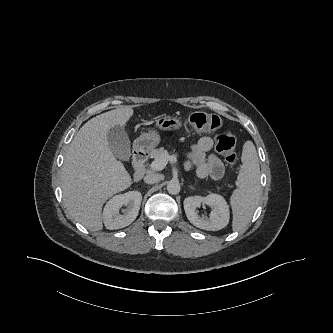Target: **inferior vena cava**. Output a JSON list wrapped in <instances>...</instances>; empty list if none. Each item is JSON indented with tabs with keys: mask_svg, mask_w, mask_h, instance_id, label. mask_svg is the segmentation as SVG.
I'll use <instances>...</instances> for the list:
<instances>
[{
	"mask_svg": "<svg viewBox=\"0 0 333 333\" xmlns=\"http://www.w3.org/2000/svg\"><path fill=\"white\" fill-rule=\"evenodd\" d=\"M162 179H163V175H161V174L148 173L144 177V182L147 183V184H154V183H157V182L161 181Z\"/></svg>",
	"mask_w": 333,
	"mask_h": 333,
	"instance_id": "602c4592",
	"label": "inferior vena cava"
}]
</instances>
